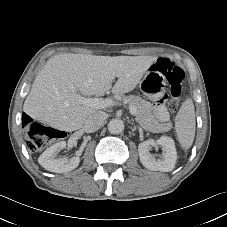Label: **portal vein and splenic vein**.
<instances>
[{"label":"portal vein and splenic vein","instance_id":"obj_1","mask_svg":"<svg viewBox=\"0 0 227 227\" xmlns=\"http://www.w3.org/2000/svg\"><path fill=\"white\" fill-rule=\"evenodd\" d=\"M80 100L82 104L90 107H94L97 109H103L106 107H109L113 105V101L111 99H101L98 97L95 98H85V97H80ZM129 110L131 115L135 116L137 113V110L134 106H129Z\"/></svg>","mask_w":227,"mask_h":227}]
</instances>
